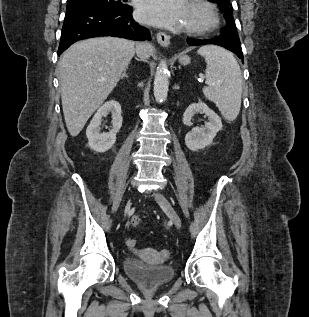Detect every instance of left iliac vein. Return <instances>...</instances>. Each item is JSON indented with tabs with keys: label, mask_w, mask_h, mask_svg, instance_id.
<instances>
[{
	"label": "left iliac vein",
	"mask_w": 309,
	"mask_h": 317,
	"mask_svg": "<svg viewBox=\"0 0 309 317\" xmlns=\"http://www.w3.org/2000/svg\"><path fill=\"white\" fill-rule=\"evenodd\" d=\"M155 200L159 204V206L166 212V214L169 216V218L172 220L176 228L181 229L182 222L178 215V213L175 211L171 203L166 199V197L160 193L156 192L154 194Z\"/></svg>",
	"instance_id": "obj_1"
}]
</instances>
